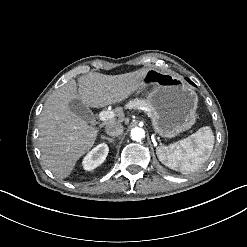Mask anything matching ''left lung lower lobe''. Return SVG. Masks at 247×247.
<instances>
[{
    "label": "left lung lower lobe",
    "mask_w": 247,
    "mask_h": 247,
    "mask_svg": "<svg viewBox=\"0 0 247 247\" xmlns=\"http://www.w3.org/2000/svg\"><path fill=\"white\" fill-rule=\"evenodd\" d=\"M186 80H187L190 84H192V85L195 86V84H194L190 79L186 78Z\"/></svg>",
    "instance_id": "obj_1"
}]
</instances>
